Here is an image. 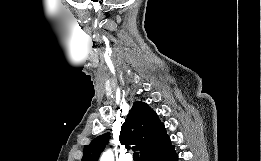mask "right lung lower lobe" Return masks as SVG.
Here are the masks:
<instances>
[{
  "instance_id": "1",
  "label": "right lung lower lobe",
  "mask_w": 261,
  "mask_h": 161,
  "mask_svg": "<svg viewBox=\"0 0 261 161\" xmlns=\"http://www.w3.org/2000/svg\"><path fill=\"white\" fill-rule=\"evenodd\" d=\"M178 156L174 151V145L167 143L162 148L150 153L142 161H177Z\"/></svg>"
}]
</instances>
